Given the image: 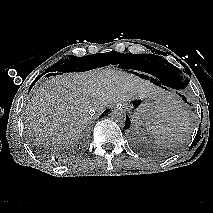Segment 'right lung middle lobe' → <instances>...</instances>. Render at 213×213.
<instances>
[{"instance_id":"obj_1","label":"right lung middle lobe","mask_w":213,"mask_h":213,"mask_svg":"<svg viewBox=\"0 0 213 213\" xmlns=\"http://www.w3.org/2000/svg\"><path fill=\"white\" fill-rule=\"evenodd\" d=\"M126 56L128 55L116 51L97 53L84 57L70 55L68 59H61L56 64L48 68L46 72L86 71L109 64H120L121 62H124Z\"/></svg>"}]
</instances>
